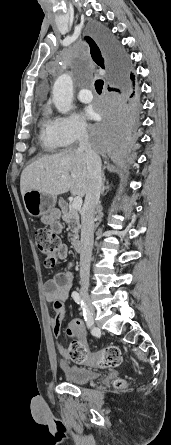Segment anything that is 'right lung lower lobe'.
I'll return each instance as SVG.
<instances>
[{
	"instance_id": "1",
	"label": "right lung lower lobe",
	"mask_w": 171,
	"mask_h": 445,
	"mask_svg": "<svg viewBox=\"0 0 171 445\" xmlns=\"http://www.w3.org/2000/svg\"><path fill=\"white\" fill-rule=\"evenodd\" d=\"M100 43L117 74L113 87L102 101L103 121L90 132L91 147L113 162L126 161L135 142L134 129L138 121L139 99L128 56L107 32L100 33Z\"/></svg>"
}]
</instances>
